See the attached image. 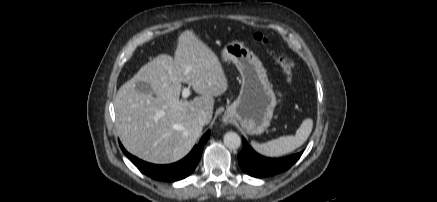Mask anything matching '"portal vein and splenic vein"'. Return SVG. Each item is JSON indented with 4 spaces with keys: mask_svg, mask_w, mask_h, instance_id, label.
<instances>
[{
    "mask_svg": "<svg viewBox=\"0 0 437 202\" xmlns=\"http://www.w3.org/2000/svg\"><path fill=\"white\" fill-rule=\"evenodd\" d=\"M185 73H188V69L186 70ZM190 95V88L189 87H185L182 91V97L183 98H187Z\"/></svg>",
    "mask_w": 437,
    "mask_h": 202,
    "instance_id": "18ae733b",
    "label": "portal vein and splenic vein"
}]
</instances>
